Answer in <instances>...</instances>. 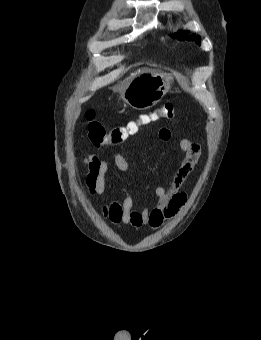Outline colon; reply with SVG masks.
<instances>
[{
	"instance_id": "obj_1",
	"label": "colon",
	"mask_w": 261,
	"mask_h": 340,
	"mask_svg": "<svg viewBox=\"0 0 261 340\" xmlns=\"http://www.w3.org/2000/svg\"><path fill=\"white\" fill-rule=\"evenodd\" d=\"M94 111H86L88 121V138L93 145L100 146L104 143L109 145L119 144L129 137L135 135L142 125L157 120H171L175 117V107L172 103H165L159 106L150 114L141 115L138 119L128 122L125 125L116 126L107 130L100 122L94 119Z\"/></svg>"
}]
</instances>
